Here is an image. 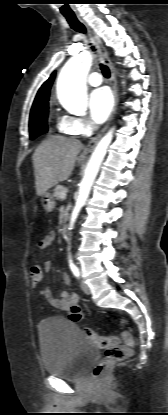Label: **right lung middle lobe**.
Masks as SVG:
<instances>
[{"mask_svg": "<svg viewBox=\"0 0 168 415\" xmlns=\"http://www.w3.org/2000/svg\"><path fill=\"white\" fill-rule=\"evenodd\" d=\"M47 117H48V106H44L34 111H31L30 120H29V130H30L31 140L47 132Z\"/></svg>", "mask_w": 168, "mask_h": 415, "instance_id": "1", "label": "right lung middle lobe"}]
</instances>
